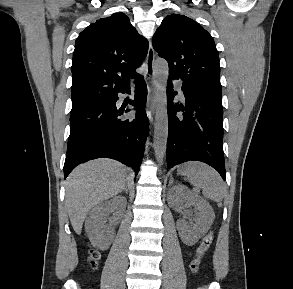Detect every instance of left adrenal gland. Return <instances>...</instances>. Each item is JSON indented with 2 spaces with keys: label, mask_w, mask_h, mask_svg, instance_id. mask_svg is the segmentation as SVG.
<instances>
[{
  "label": "left adrenal gland",
  "mask_w": 293,
  "mask_h": 289,
  "mask_svg": "<svg viewBox=\"0 0 293 289\" xmlns=\"http://www.w3.org/2000/svg\"><path fill=\"white\" fill-rule=\"evenodd\" d=\"M172 183H173V178H172V176H171V177H170V181H169V186L172 185Z\"/></svg>",
  "instance_id": "left-adrenal-gland-1"
}]
</instances>
